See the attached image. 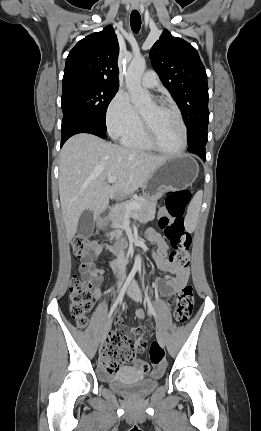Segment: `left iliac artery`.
Listing matches in <instances>:
<instances>
[{
  "mask_svg": "<svg viewBox=\"0 0 261 431\" xmlns=\"http://www.w3.org/2000/svg\"><path fill=\"white\" fill-rule=\"evenodd\" d=\"M139 273H141V270L139 269ZM142 287H143V289H144V293H145V299H146V302H147V305H148V309H149V312L150 313H152V315L156 318V312H155V309H154V307H153V305H152V303H151V300H150V298H149V296H148V294H147V291L145 290V288H144V284L142 283Z\"/></svg>",
  "mask_w": 261,
  "mask_h": 431,
  "instance_id": "obj_1",
  "label": "left iliac artery"
}]
</instances>
